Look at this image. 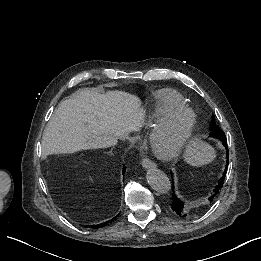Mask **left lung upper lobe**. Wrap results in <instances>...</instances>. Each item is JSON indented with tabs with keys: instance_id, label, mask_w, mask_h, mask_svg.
Wrapping results in <instances>:
<instances>
[{
	"instance_id": "obj_1",
	"label": "left lung upper lobe",
	"mask_w": 261,
	"mask_h": 261,
	"mask_svg": "<svg viewBox=\"0 0 261 261\" xmlns=\"http://www.w3.org/2000/svg\"><path fill=\"white\" fill-rule=\"evenodd\" d=\"M210 128H211V132H210L209 136L220 139L223 144L226 143L225 134L219 127L216 126L214 115H213V119L210 123Z\"/></svg>"
}]
</instances>
